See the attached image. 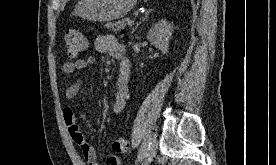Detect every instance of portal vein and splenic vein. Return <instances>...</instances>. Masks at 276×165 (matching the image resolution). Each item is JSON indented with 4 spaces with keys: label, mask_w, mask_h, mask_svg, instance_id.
<instances>
[{
    "label": "portal vein and splenic vein",
    "mask_w": 276,
    "mask_h": 165,
    "mask_svg": "<svg viewBox=\"0 0 276 165\" xmlns=\"http://www.w3.org/2000/svg\"><path fill=\"white\" fill-rule=\"evenodd\" d=\"M134 24V20H128V25H133Z\"/></svg>",
    "instance_id": "obj_1"
}]
</instances>
